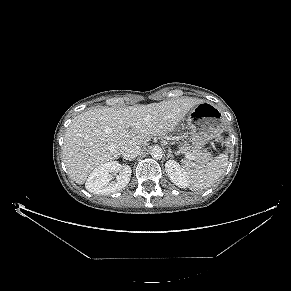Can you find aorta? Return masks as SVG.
I'll list each match as a JSON object with an SVG mask.
<instances>
[{
    "label": "aorta",
    "instance_id": "1",
    "mask_svg": "<svg viewBox=\"0 0 291 291\" xmlns=\"http://www.w3.org/2000/svg\"><path fill=\"white\" fill-rule=\"evenodd\" d=\"M150 155L153 159H161L164 155V152L160 146H153L150 150Z\"/></svg>",
    "mask_w": 291,
    "mask_h": 291
}]
</instances>
